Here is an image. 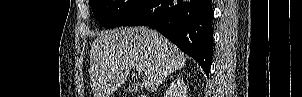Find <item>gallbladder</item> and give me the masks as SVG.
Masks as SVG:
<instances>
[{
  "label": "gallbladder",
  "instance_id": "obj_1",
  "mask_svg": "<svg viewBox=\"0 0 302 97\" xmlns=\"http://www.w3.org/2000/svg\"><path fill=\"white\" fill-rule=\"evenodd\" d=\"M129 91H137V88H129Z\"/></svg>",
  "mask_w": 302,
  "mask_h": 97
}]
</instances>
